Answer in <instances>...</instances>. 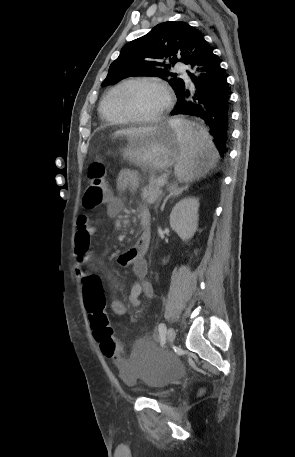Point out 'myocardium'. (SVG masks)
<instances>
[{
  "label": "myocardium",
  "instance_id": "f54148a6",
  "mask_svg": "<svg viewBox=\"0 0 295 457\" xmlns=\"http://www.w3.org/2000/svg\"><path fill=\"white\" fill-rule=\"evenodd\" d=\"M141 86H157L166 94V104L162 111L152 117H141L135 114L128 105L127 98L129 94L136 88ZM116 104L119 111L127 117L131 122L135 123H154L161 120L170 110L172 105V95L169 88L161 81L154 79H135L124 84L116 95Z\"/></svg>",
  "mask_w": 295,
  "mask_h": 457
}]
</instances>
